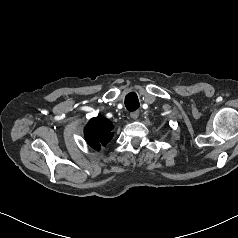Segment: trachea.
I'll return each instance as SVG.
<instances>
[{
	"label": "trachea",
	"mask_w": 238,
	"mask_h": 238,
	"mask_svg": "<svg viewBox=\"0 0 238 238\" xmlns=\"http://www.w3.org/2000/svg\"><path fill=\"white\" fill-rule=\"evenodd\" d=\"M125 106L129 111H135L139 108L140 103L135 92H131L125 97Z\"/></svg>",
	"instance_id": "3493384b"
}]
</instances>
